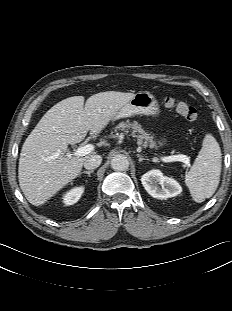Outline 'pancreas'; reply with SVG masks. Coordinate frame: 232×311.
Masks as SVG:
<instances>
[{"label": "pancreas", "instance_id": "pancreas-1", "mask_svg": "<svg viewBox=\"0 0 232 311\" xmlns=\"http://www.w3.org/2000/svg\"><path fill=\"white\" fill-rule=\"evenodd\" d=\"M118 130L126 134L131 132V135L137 138L140 144L143 143V146L145 147L148 145L150 148L156 147V142L153 140V137L150 136L149 133L145 132L142 129L141 125H139L137 122L131 123L129 120L125 122L122 121L114 128L115 132H117Z\"/></svg>", "mask_w": 232, "mask_h": 311}]
</instances>
